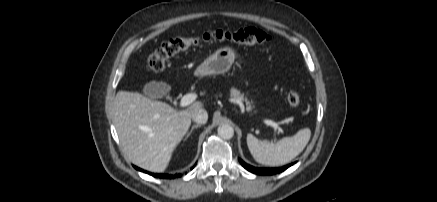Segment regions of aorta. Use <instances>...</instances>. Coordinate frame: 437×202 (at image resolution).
Here are the masks:
<instances>
[{"label":"aorta","instance_id":"obj_1","mask_svg":"<svg viewBox=\"0 0 437 202\" xmlns=\"http://www.w3.org/2000/svg\"><path fill=\"white\" fill-rule=\"evenodd\" d=\"M218 135L223 139H231L234 136V129L229 124H221L218 127Z\"/></svg>","mask_w":437,"mask_h":202}]
</instances>
